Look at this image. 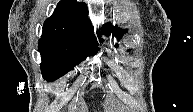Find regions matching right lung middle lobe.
I'll list each match as a JSON object with an SVG mask.
<instances>
[{
	"label": "right lung middle lobe",
	"mask_w": 193,
	"mask_h": 112,
	"mask_svg": "<svg viewBox=\"0 0 193 112\" xmlns=\"http://www.w3.org/2000/svg\"><path fill=\"white\" fill-rule=\"evenodd\" d=\"M39 51L42 58L43 78L54 81L74 69L87 56H93L98 49L69 40L40 39Z\"/></svg>",
	"instance_id": "dd1d6c3e"
}]
</instances>
